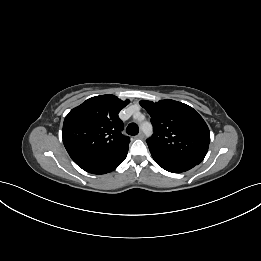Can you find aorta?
<instances>
[{
	"label": "aorta",
	"instance_id": "obj_1",
	"mask_svg": "<svg viewBox=\"0 0 261 261\" xmlns=\"http://www.w3.org/2000/svg\"><path fill=\"white\" fill-rule=\"evenodd\" d=\"M141 128L147 135H150L152 133V126L148 122L143 123L141 125Z\"/></svg>",
	"mask_w": 261,
	"mask_h": 261
}]
</instances>
